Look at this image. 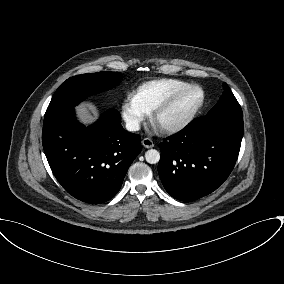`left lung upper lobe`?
Returning <instances> with one entry per match:
<instances>
[{
    "label": "left lung upper lobe",
    "mask_w": 284,
    "mask_h": 284,
    "mask_svg": "<svg viewBox=\"0 0 284 284\" xmlns=\"http://www.w3.org/2000/svg\"><path fill=\"white\" fill-rule=\"evenodd\" d=\"M224 92L220 97L218 103L208 112V114L215 113H233L242 114V109L233 95L232 91L226 83H223Z\"/></svg>",
    "instance_id": "left-lung-upper-lobe-1"
}]
</instances>
